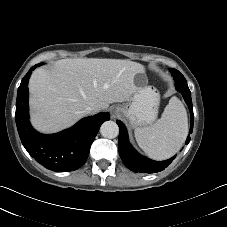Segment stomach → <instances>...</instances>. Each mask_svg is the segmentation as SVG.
<instances>
[{
    "label": "stomach",
    "mask_w": 227,
    "mask_h": 227,
    "mask_svg": "<svg viewBox=\"0 0 227 227\" xmlns=\"http://www.w3.org/2000/svg\"><path fill=\"white\" fill-rule=\"evenodd\" d=\"M137 90L126 103L118 105V111L129 119L133 127L147 126L157 118L160 95L158 91L148 86L145 79L135 80Z\"/></svg>",
    "instance_id": "1"
}]
</instances>
